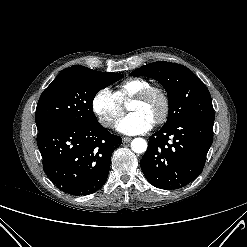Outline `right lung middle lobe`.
<instances>
[{
    "instance_id": "obj_1",
    "label": "right lung middle lobe",
    "mask_w": 247,
    "mask_h": 247,
    "mask_svg": "<svg viewBox=\"0 0 247 247\" xmlns=\"http://www.w3.org/2000/svg\"><path fill=\"white\" fill-rule=\"evenodd\" d=\"M123 77L76 65L62 70L41 94L36 108L37 129L62 123H96L92 109L95 95Z\"/></svg>"
}]
</instances>
